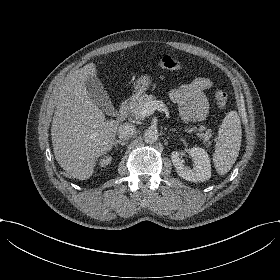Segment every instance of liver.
<instances>
[{
    "label": "liver",
    "mask_w": 280,
    "mask_h": 280,
    "mask_svg": "<svg viewBox=\"0 0 280 280\" xmlns=\"http://www.w3.org/2000/svg\"><path fill=\"white\" fill-rule=\"evenodd\" d=\"M94 73L93 65L71 73L55 96L51 130L55 158L80 180L89 178L95 158L111 149L118 125L105 120L102 110L87 95L84 80Z\"/></svg>",
    "instance_id": "liver-1"
}]
</instances>
